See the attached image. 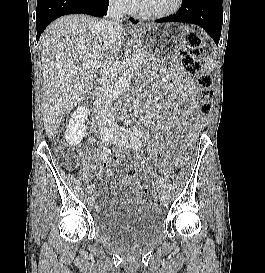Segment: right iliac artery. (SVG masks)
I'll use <instances>...</instances> for the list:
<instances>
[{
    "label": "right iliac artery",
    "mask_w": 265,
    "mask_h": 273,
    "mask_svg": "<svg viewBox=\"0 0 265 273\" xmlns=\"http://www.w3.org/2000/svg\"><path fill=\"white\" fill-rule=\"evenodd\" d=\"M110 153H111V150H110V149L104 148V149L101 151V153H100L99 159H101V160L106 159ZM92 191H93V187H92L91 185H89V186L87 187V192H88L89 194H91Z\"/></svg>",
    "instance_id": "1"
}]
</instances>
